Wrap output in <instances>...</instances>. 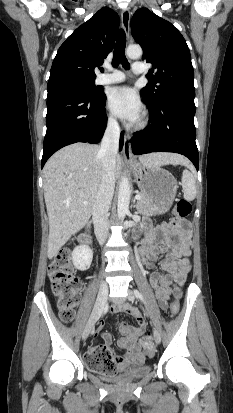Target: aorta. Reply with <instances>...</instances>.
<instances>
[{"label": "aorta", "mask_w": 233, "mask_h": 413, "mask_svg": "<svg viewBox=\"0 0 233 413\" xmlns=\"http://www.w3.org/2000/svg\"><path fill=\"white\" fill-rule=\"evenodd\" d=\"M126 54L131 59H138L142 56V48L138 45H130ZM130 183L126 176H123L119 184L117 215L120 220H123L129 210L130 202Z\"/></svg>", "instance_id": "1"}]
</instances>
